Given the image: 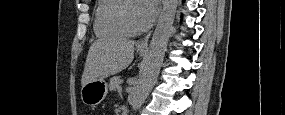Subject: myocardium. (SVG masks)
<instances>
[{"label":"myocardium","mask_w":285,"mask_h":115,"mask_svg":"<svg viewBox=\"0 0 285 115\" xmlns=\"http://www.w3.org/2000/svg\"><path fill=\"white\" fill-rule=\"evenodd\" d=\"M134 1L132 0H126L123 2V4L121 5L120 7V10H119V21L120 23L122 24V26L131 34H136V33H139V32H142L146 29L145 26H142V27H135L134 25H132V23L130 22L127 14H126V11L130 5V3H132Z\"/></svg>","instance_id":"myocardium-1"}]
</instances>
